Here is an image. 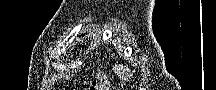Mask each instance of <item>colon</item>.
Listing matches in <instances>:
<instances>
[{
  "instance_id": "5ec220e1",
  "label": "colon",
  "mask_w": 216,
  "mask_h": 90,
  "mask_svg": "<svg viewBox=\"0 0 216 90\" xmlns=\"http://www.w3.org/2000/svg\"><path fill=\"white\" fill-rule=\"evenodd\" d=\"M110 82L106 73L98 68L96 73V79L93 81L90 90H109Z\"/></svg>"
}]
</instances>
